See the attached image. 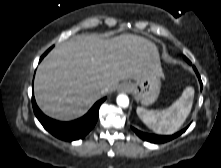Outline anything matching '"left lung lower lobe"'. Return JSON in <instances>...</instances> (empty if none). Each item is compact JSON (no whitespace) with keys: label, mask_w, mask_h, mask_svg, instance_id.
Instances as JSON below:
<instances>
[{"label":"left lung lower lobe","mask_w":221,"mask_h":168,"mask_svg":"<svg viewBox=\"0 0 221 168\" xmlns=\"http://www.w3.org/2000/svg\"><path fill=\"white\" fill-rule=\"evenodd\" d=\"M194 70L199 78L200 84H201V89H202V82H201V78L196 70V68L194 67ZM187 128L173 134V135H156V134H149V133H144L142 131L137 130L136 128L132 127V130L144 141H148L151 143H155V144H160V143H165L168 142L176 137H178L179 135H181L183 132L186 131Z\"/></svg>","instance_id":"0a47b994"}]
</instances>
